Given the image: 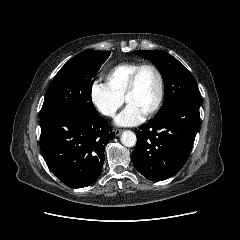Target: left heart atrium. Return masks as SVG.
<instances>
[{
  "label": "left heart atrium",
  "mask_w": 240,
  "mask_h": 240,
  "mask_svg": "<svg viewBox=\"0 0 240 240\" xmlns=\"http://www.w3.org/2000/svg\"><path fill=\"white\" fill-rule=\"evenodd\" d=\"M144 114L135 106L128 104L116 117L115 123L119 126H134L143 120Z\"/></svg>",
  "instance_id": "39dd6f15"
}]
</instances>
